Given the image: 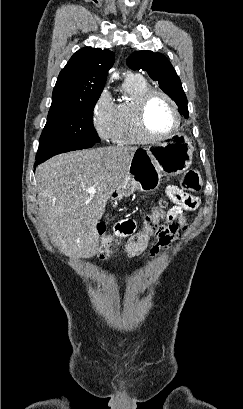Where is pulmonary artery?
<instances>
[{
	"instance_id": "e3ab8cb5",
	"label": "pulmonary artery",
	"mask_w": 243,
	"mask_h": 409,
	"mask_svg": "<svg viewBox=\"0 0 243 409\" xmlns=\"http://www.w3.org/2000/svg\"><path fill=\"white\" fill-rule=\"evenodd\" d=\"M126 78H128V79H133V78H141V77H140L139 75L129 73V74H127V77H126Z\"/></svg>"
}]
</instances>
